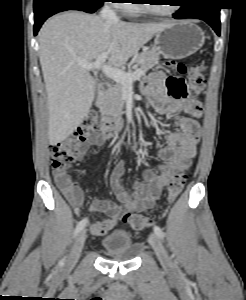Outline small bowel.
Wrapping results in <instances>:
<instances>
[{
  "mask_svg": "<svg viewBox=\"0 0 246 300\" xmlns=\"http://www.w3.org/2000/svg\"><path fill=\"white\" fill-rule=\"evenodd\" d=\"M141 89L146 104L160 114L177 116L179 130L169 132L165 144L158 150V156L162 160L158 171L144 169L140 178L133 182L131 193L121 184L126 162L122 160L113 168L110 184L119 204L108 199H94L91 202L92 212L106 215L104 219L90 225V230L95 235L110 232L127 211L153 209L172 175L180 169H188L196 155L201 130L197 120L190 114V108L198 101L186 93V82L180 78L166 76L162 72H154L145 78ZM111 138L112 134L108 132L97 133L90 138L88 145L101 146ZM84 155L83 151L80 158ZM53 176L63 195L74 210L79 212L84 204L82 189L66 171L54 170Z\"/></svg>",
  "mask_w": 246,
  "mask_h": 300,
  "instance_id": "small-bowel-1",
  "label": "small bowel"
}]
</instances>
